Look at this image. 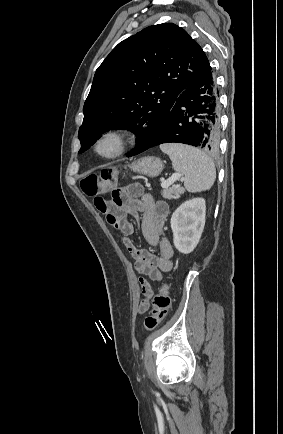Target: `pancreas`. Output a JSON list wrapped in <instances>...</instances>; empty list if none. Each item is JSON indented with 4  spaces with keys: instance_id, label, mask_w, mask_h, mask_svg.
<instances>
[{
    "instance_id": "pancreas-1",
    "label": "pancreas",
    "mask_w": 283,
    "mask_h": 434,
    "mask_svg": "<svg viewBox=\"0 0 283 434\" xmlns=\"http://www.w3.org/2000/svg\"><path fill=\"white\" fill-rule=\"evenodd\" d=\"M184 190L182 188L179 187H165L162 191V195L164 198L167 199H179L181 197V194H183ZM173 194H175L176 196L173 197Z\"/></svg>"
}]
</instances>
